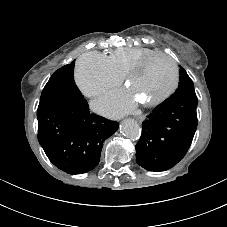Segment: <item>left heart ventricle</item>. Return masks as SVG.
<instances>
[{"instance_id":"1","label":"left heart ventricle","mask_w":227,"mask_h":227,"mask_svg":"<svg viewBox=\"0 0 227 227\" xmlns=\"http://www.w3.org/2000/svg\"><path fill=\"white\" fill-rule=\"evenodd\" d=\"M173 81V67L165 57L152 59L130 82L133 95L140 101L153 99L164 93Z\"/></svg>"}]
</instances>
